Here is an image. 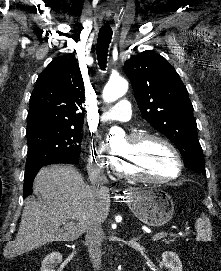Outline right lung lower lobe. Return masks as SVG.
I'll list each match as a JSON object with an SVG mask.
<instances>
[{"label":"right lung lower lobe","instance_id":"obj_1","mask_svg":"<svg viewBox=\"0 0 221 271\" xmlns=\"http://www.w3.org/2000/svg\"><path fill=\"white\" fill-rule=\"evenodd\" d=\"M46 165H49V164H46ZM46 165L28 167L25 169V179H24V188H23L24 198L32 193L33 180L36 174L38 173L39 169Z\"/></svg>","mask_w":221,"mask_h":271}]
</instances>
